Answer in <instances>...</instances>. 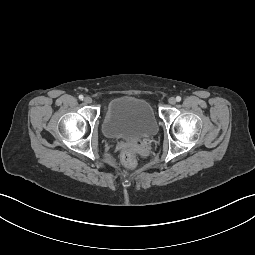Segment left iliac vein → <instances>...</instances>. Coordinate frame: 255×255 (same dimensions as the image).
<instances>
[{
	"label": "left iliac vein",
	"instance_id": "1",
	"mask_svg": "<svg viewBox=\"0 0 255 255\" xmlns=\"http://www.w3.org/2000/svg\"><path fill=\"white\" fill-rule=\"evenodd\" d=\"M168 102L171 104V105H174L176 103V99L174 97H170Z\"/></svg>",
	"mask_w": 255,
	"mask_h": 255
}]
</instances>
